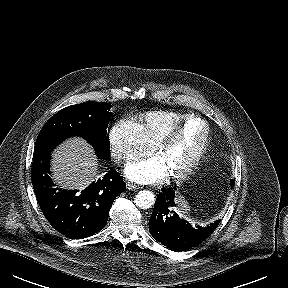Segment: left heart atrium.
I'll return each instance as SVG.
<instances>
[{"label":"left heart atrium","instance_id":"left-heart-atrium-1","mask_svg":"<svg viewBox=\"0 0 288 288\" xmlns=\"http://www.w3.org/2000/svg\"><path fill=\"white\" fill-rule=\"evenodd\" d=\"M126 176L136 183H155L168 176V169L160 156L140 160L129 164L125 169Z\"/></svg>","mask_w":288,"mask_h":288}]
</instances>
